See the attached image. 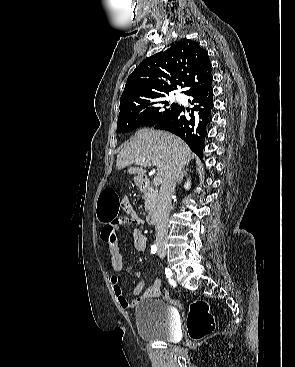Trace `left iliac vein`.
I'll list each match as a JSON object with an SVG mask.
<instances>
[{"instance_id":"4c4485c4","label":"left iliac vein","mask_w":295,"mask_h":367,"mask_svg":"<svg viewBox=\"0 0 295 367\" xmlns=\"http://www.w3.org/2000/svg\"><path fill=\"white\" fill-rule=\"evenodd\" d=\"M159 257H160V258H163V256L161 255L160 251H159Z\"/></svg>"}]
</instances>
